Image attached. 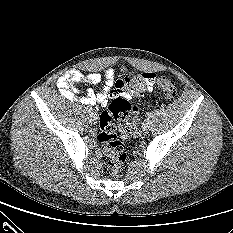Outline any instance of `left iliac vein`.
Returning a JSON list of instances; mask_svg holds the SVG:
<instances>
[{
    "label": "left iliac vein",
    "mask_w": 233,
    "mask_h": 233,
    "mask_svg": "<svg viewBox=\"0 0 233 233\" xmlns=\"http://www.w3.org/2000/svg\"><path fill=\"white\" fill-rule=\"evenodd\" d=\"M150 128H151V122L149 121V119H147L143 123L142 129L145 133H148L150 131Z\"/></svg>",
    "instance_id": "left-iliac-vein-1"
}]
</instances>
